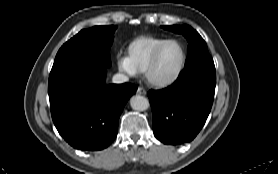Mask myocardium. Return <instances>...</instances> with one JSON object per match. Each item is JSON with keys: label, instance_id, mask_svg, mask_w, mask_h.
<instances>
[{"label": "myocardium", "instance_id": "obj_1", "mask_svg": "<svg viewBox=\"0 0 278 174\" xmlns=\"http://www.w3.org/2000/svg\"><path fill=\"white\" fill-rule=\"evenodd\" d=\"M169 43H177L180 45L181 47V51H182V60H181V64L179 66V68L177 69V71L170 77L168 78H158L156 76H154V67L156 64V61L158 59V56L161 52V50ZM186 63H187V51H186V47L185 45L178 39H167L164 42H162L152 53L147 67L145 69V77L146 80L153 86L155 87H167L172 85L173 83H175L180 76L182 75L185 67H186Z\"/></svg>", "mask_w": 278, "mask_h": 174}]
</instances>
